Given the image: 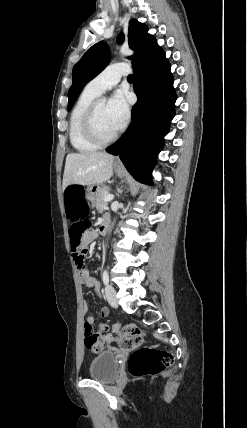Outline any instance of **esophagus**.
Returning <instances> with one entry per match:
<instances>
[{
  "instance_id": "esophagus-1",
  "label": "esophagus",
  "mask_w": 247,
  "mask_h": 428,
  "mask_svg": "<svg viewBox=\"0 0 247 428\" xmlns=\"http://www.w3.org/2000/svg\"><path fill=\"white\" fill-rule=\"evenodd\" d=\"M116 163L119 165L121 164L120 160H118V159L116 160Z\"/></svg>"
}]
</instances>
